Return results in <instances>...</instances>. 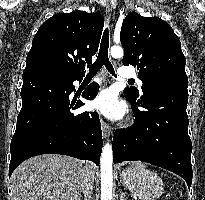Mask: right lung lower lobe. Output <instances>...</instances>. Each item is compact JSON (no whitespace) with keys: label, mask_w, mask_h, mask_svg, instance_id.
I'll return each mask as SVG.
<instances>
[{"label":"right lung lower lobe","mask_w":205,"mask_h":200,"mask_svg":"<svg viewBox=\"0 0 205 200\" xmlns=\"http://www.w3.org/2000/svg\"><path fill=\"white\" fill-rule=\"evenodd\" d=\"M22 77V108L10 145L9 176L24 160L46 153L91 160L98 165L103 145L98 114L73 113L84 103L69 99L75 91L73 82L83 77L54 72H30ZM98 88L92 83L82 97L92 100Z\"/></svg>","instance_id":"1"}]
</instances>
